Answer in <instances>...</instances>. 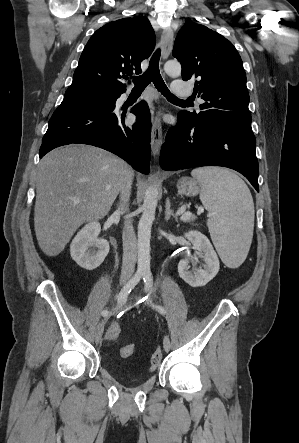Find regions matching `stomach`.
I'll return each instance as SVG.
<instances>
[{"instance_id":"1","label":"stomach","mask_w":299,"mask_h":443,"mask_svg":"<svg viewBox=\"0 0 299 443\" xmlns=\"http://www.w3.org/2000/svg\"><path fill=\"white\" fill-rule=\"evenodd\" d=\"M177 188L180 194L185 196H195L200 192L201 185L194 178L183 177L178 180Z\"/></svg>"}]
</instances>
